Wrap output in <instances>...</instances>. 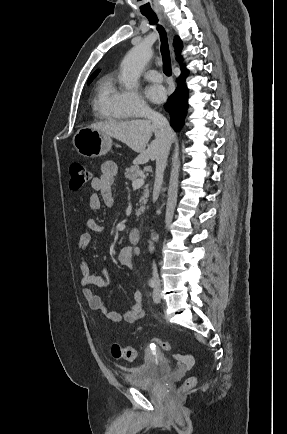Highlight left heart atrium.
I'll return each mask as SVG.
<instances>
[{
	"instance_id": "39dd6f15",
	"label": "left heart atrium",
	"mask_w": 287,
	"mask_h": 434,
	"mask_svg": "<svg viewBox=\"0 0 287 434\" xmlns=\"http://www.w3.org/2000/svg\"><path fill=\"white\" fill-rule=\"evenodd\" d=\"M146 95L152 102L160 103L164 101L166 92L163 86L154 84L146 88Z\"/></svg>"
}]
</instances>
